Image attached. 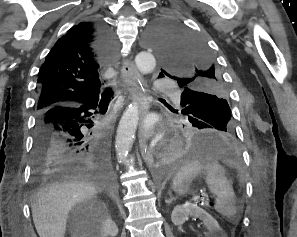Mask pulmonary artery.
<instances>
[{"instance_id":"obj_1","label":"pulmonary artery","mask_w":297,"mask_h":237,"mask_svg":"<svg viewBox=\"0 0 297 237\" xmlns=\"http://www.w3.org/2000/svg\"><path fill=\"white\" fill-rule=\"evenodd\" d=\"M173 87H174L173 84L168 81H159L155 85V89H157V90H168L169 91V90H172Z\"/></svg>"}]
</instances>
